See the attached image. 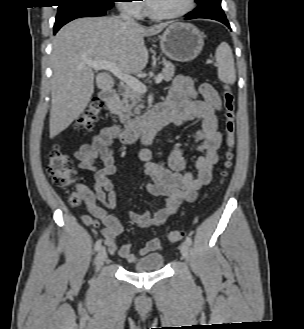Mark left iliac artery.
I'll return each mask as SVG.
<instances>
[{"label": "left iliac artery", "instance_id": "obj_1", "mask_svg": "<svg viewBox=\"0 0 304 329\" xmlns=\"http://www.w3.org/2000/svg\"><path fill=\"white\" fill-rule=\"evenodd\" d=\"M185 242H186L188 245H191V244H192V239H191L189 236H187V237L185 238Z\"/></svg>", "mask_w": 304, "mask_h": 329}]
</instances>
